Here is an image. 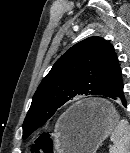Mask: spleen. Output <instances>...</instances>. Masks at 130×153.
<instances>
[{
    "instance_id": "1",
    "label": "spleen",
    "mask_w": 130,
    "mask_h": 153,
    "mask_svg": "<svg viewBox=\"0 0 130 153\" xmlns=\"http://www.w3.org/2000/svg\"><path fill=\"white\" fill-rule=\"evenodd\" d=\"M110 153H130V127L125 119L119 120L111 134Z\"/></svg>"
}]
</instances>
